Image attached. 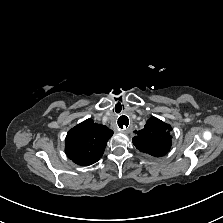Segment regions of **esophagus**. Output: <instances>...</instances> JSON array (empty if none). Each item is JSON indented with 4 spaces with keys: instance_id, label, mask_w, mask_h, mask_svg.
I'll return each instance as SVG.
<instances>
[{
    "instance_id": "esophagus-1",
    "label": "esophagus",
    "mask_w": 223,
    "mask_h": 223,
    "mask_svg": "<svg viewBox=\"0 0 223 223\" xmlns=\"http://www.w3.org/2000/svg\"><path fill=\"white\" fill-rule=\"evenodd\" d=\"M116 124H117L119 130H121L123 132L130 130V128L132 126V123H131L129 117H127L125 115L118 117Z\"/></svg>"
}]
</instances>
